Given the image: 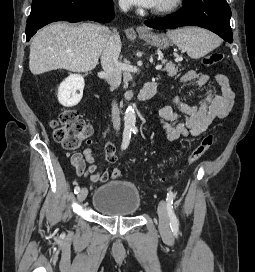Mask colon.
I'll return each instance as SVG.
<instances>
[{
	"mask_svg": "<svg viewBox=\"0 0 255 272\" xmlns=\"http://www.w3.org/2000/svg\"><path fill=\"white\" fill-rule=\"evenodd\" d=\"M224 59L222 52H213L207 55L203 64L206 67L214 66ZM54 139L67 150L78 149L84 142H89L91 127L80 118L78 112L74 109L61 110L52 121ZM215 136L212 133L202 138L200 143L192 150L188 157V166L196 164L205 153L212 147ZM184 170L178 172L181 175ZM112 178L120 176V171L114 169L111 173Z\"/></svg>",
	"mask_w": 255,
	"mask_h": 272,
	"instance_id": "1",
	"label": "colon"
}]
</instances>
